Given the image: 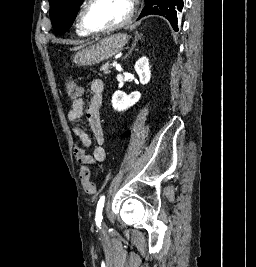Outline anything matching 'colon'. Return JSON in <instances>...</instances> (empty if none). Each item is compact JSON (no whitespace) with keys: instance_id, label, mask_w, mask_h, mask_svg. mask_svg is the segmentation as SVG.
I'll return each instance as SVG.
<instances>
[{"instance_id":"colon-1","label":"colon","mask_w":256,"mask_h":267,"mask_svg":"<svg viewBox=\"0 0 256 267\" xmlns=\"http://www.w3.org/2000/svg\"><path fill=\"white\" fill-rule=\"evenodd\" d=\"M66 89L68 98L70 100H76L80 97L81 90L80 87L75 82L67 81ZM81 174H82L83 188L85 189V191L91 195L96 194L98 192V189L90 179V169L85 166L82 167Z\"/></svg>"}]
</instances>
